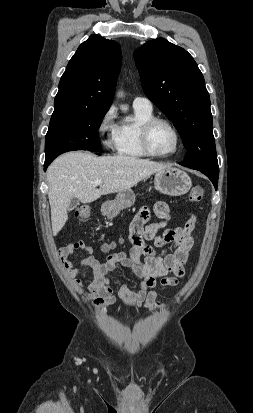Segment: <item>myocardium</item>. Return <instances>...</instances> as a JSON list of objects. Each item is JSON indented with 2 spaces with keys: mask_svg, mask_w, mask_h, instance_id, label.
<instances>
[{
  "mask_svg": "<svg viewBox=\"0 0 253 413\" xmlns=\"http://www.w3.org/2000/svg\"><path fill=\"white\" fill-rule=\"evenodd\" d=\"M158 123L166 124L174 133L175 147L170 153L159 154V153H156L152 149V146H151V143H150V134H151V130L153 129V127ZM139 134H140V144H141V147H142L143 151L148 156H151V157H155V158L171 157L179 151L180 146H181V135L179 133V130L174 125V123L172 121H170L169 119H167V118L156 117V116H153V117L149 118L148 120L144 121L141 124Z\"/></svg>",
  "mask_w": 253,
  "mask_h": 413,
  "instance_id": "f54148a6",
  "label": "myocardium"
}]
</instances>
